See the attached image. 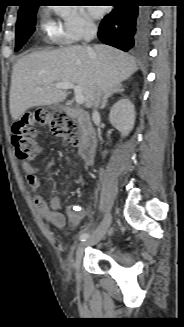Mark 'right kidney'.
Here are the masks:
<instances>
[{"label": "right kidney", "instance_id": "obj_1", "mask_svg": "<svg viewBox=\"0 0 184 327\" xmlns=\"http://www.w3.org/2000/svg\"><path fill=\"white\" fill-rule=\"evenodd\" d=\"M109 120L121 132L122 136H127L133 129L135 122L133 103L127 98L116 102L110 110Z\"/></svg>", "mask_w": 184, "mask_h": 327}]
</instances>
